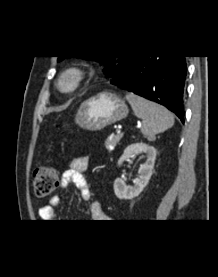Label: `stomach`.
Wrapping results in <instances>:
<instances>
[{"label":"stomach","mask_w":218,"mask_h":277,"mask_svg":"<svg viewBox=\"0 0 218 277\" xmlns=\"http://www.w3.org/2000/svg\"><path fill=\"white\" fill-rule=\"evenodd\" d=\"M123 99L110 92L99 93L84 101L75 116V123L89 131L102 130L128 115Z\"/></svg>","instance_id":"obj_1"}]
</instances>
